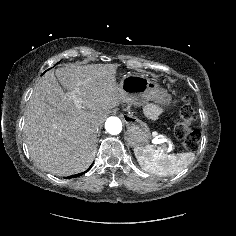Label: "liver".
I'll use <instances>...</instances> for the list:
<instances>
[{
	"mask_svg": "<svg viewBox=\"0 0 236 236\" xmlns=\"http://www.w3.org/2000/svg\"><path fill=\"white\" fill-rule=\"evenodd\" d=\"M118 64L58 68L45 73L27 104L24 133L31 158L45 171L68 176L85 171L96 155L97 132L111 109L126 101L118 88ZM75 91L81 106L67 96Z\"/></svg>",
	"mask_w": 236,
	"mask_h": 236,
	"instance_id": "6515ba94",
	"label": "liver"
}]
</instances>
